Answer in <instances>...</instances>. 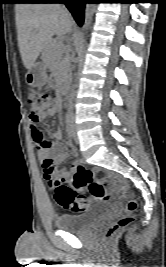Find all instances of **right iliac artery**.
I'll return each instance as SVG.
<instances>
[{"instance_id":"obj_1","label":"right iliac artery","mask_w":166,"mask_h":267,"mask_svg":"<svg viewBox=\"0 0 166 267\" xmlns=\"http://www.w3.org/2000/svg\"><path fill=\"white\" fill-rule=\"evenodd\" d=\"M65 124H66V132L68 133L69 137L73 136L72 132V119L70 115H66L65 117Z\"/></svg>"}]
</instances>
